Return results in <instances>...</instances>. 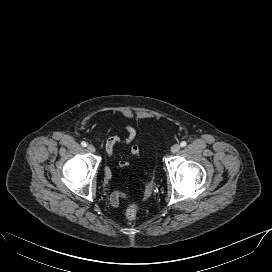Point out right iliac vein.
Instances as JSON below:
<instances>
[{
  "label": "right iliac vein",
  "mask_w": 272,
  "mask_h": 272,
  "mask_svg": "<svg viewBox=\"0 0 272 272\" xmlns=\"http://www.w3.org/2000/svg\"><path fill=\"white\" fill-rule=\"evenodd\" d=\"M87 150H88L89 152H91V153H94V152H95V147H94L93 145L89 144V145L87 146Z\"/></svg>",
  "instance_id": "obj_1"
}]
</instances>
